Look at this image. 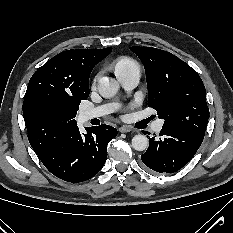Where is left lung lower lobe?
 I'll return each instance as SVG.
<instances>
[{
	"mask_svg": "<svg viewBox=\"0 0 233 233\" xmlns=\"http://www.w3.org/2000/svg\"><path fill=\"white\" fill-rule=\"evenodd\" d=\"M203 138L189 130L163 125L157 139L149 137V147L141 159L154 172H176L193 158Z\"/></svg>",
	"mask_w": 233,
	"mask_h": 233,
	"instance_id": "0a47b994",
	"label": "left lung lower lobe"
}]
</instances>
